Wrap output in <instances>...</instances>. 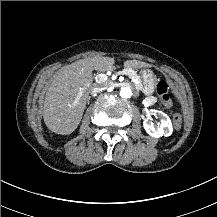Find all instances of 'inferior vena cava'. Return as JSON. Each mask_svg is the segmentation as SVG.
<instances>
[{"instance_id":"inferior-vena-cava-1","label":"inferior vena cava","mask_w":217,"mask_h":217,"mask_svg":"<svg viewBox=\"0 0 217 217\" xmlns=\"http://www.w3.org/2000/svg\"><path fill=\"white\" fill-rule=\"evenodd\" d=\"M106 90V87H102V85L99 84H95L92 88H91V93H97L100 91Z\"/></svg>"}]
</instances>
